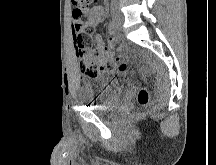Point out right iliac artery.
Wrapping results in <instances>:
<instances>
[{
  "mask_svg": "<svg viewBox=\"0 0 216 165\" xmlns=\"http://www.w3.org/2000/svg\"><path fill=\"white\" fill-rule=\"evenodd\" d=\"M108 30H109L110 35L115 34L116 26H115L113 20L109 22Z\"/></svg>",
  "mask_w": 216,
  "mask_h": 165,
  "instance_id": "82829eb1",
  "label": "right iliac artery"
}]
</instances>
